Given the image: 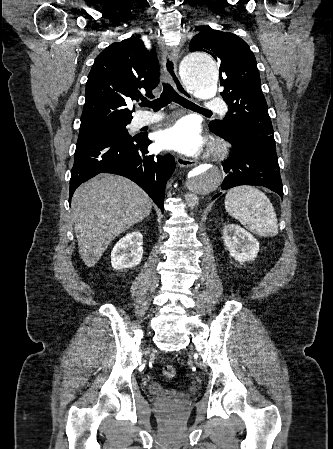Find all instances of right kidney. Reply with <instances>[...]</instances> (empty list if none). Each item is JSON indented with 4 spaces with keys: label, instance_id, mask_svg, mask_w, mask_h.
<instances>
[{
    "label": "right kidney",
    "instance_id": "ca27d5eb",
    "mask_svg": "<svg viewBox=\"0 0 333 449\" xmlns=\"http://www.w3.org/2000/svg\"><path fill=\"white\" fill-rule=\"evenodd\" d=\"M143 236L139 231L121 238L111 251V264L115 270L137 266L143 256Z\"/></svg>",
    "mask_w": 333,
    "mask_h": 449
}]
</instances>
